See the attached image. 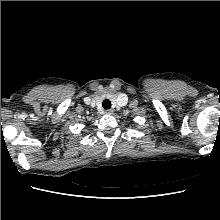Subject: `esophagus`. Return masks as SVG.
<instances>
[{
  "label": "esophagus",
  "mask_w": 220,
  "mask_h": 220,
  "mask_svg": "<svg viewBox=\"0 0 220 220\" xmlns=\"http://www.w3.org/2000/svg\"><path fill=\"white\" fill-rule=\"evenodd\" d=\"M113 112H114V111H113L112 109H108V110L105 111V113L108 114V115L113 114Z\"/></svg>",
  "instance_id": "esophagus-1"
}]
</instances>
